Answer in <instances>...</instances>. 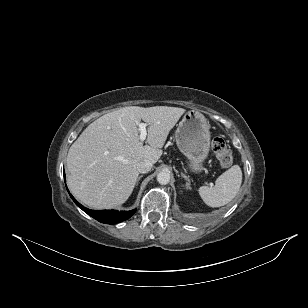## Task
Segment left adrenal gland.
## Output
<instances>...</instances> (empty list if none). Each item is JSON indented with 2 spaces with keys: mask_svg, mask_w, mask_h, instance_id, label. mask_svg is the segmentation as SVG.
<instances>
[{
  "mask_svg": "<svg viewBox=\"0 0 308 308\" xmlns=\"http://www.w3.org/2000/svg\"><path fill=\"white\" fill-rule=\"evenodd\" d=\"M181 176L187 181L186 182V189H188V190H191V187H190V179L185 175V174H183V173H181Z\"/></svg>",
  "mask_w": 308,
  "mask_h": 308,
  "instance_id": "left-adrenal-gland-1",
  "label": "left adrenal gland"
}]
</instances>
